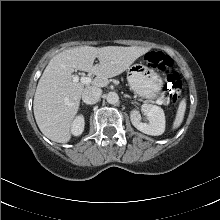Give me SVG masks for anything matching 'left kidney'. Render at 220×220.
Masks as SVG:
<instances>
[{"label": "left kidney", "instance_id": "left-kidney-1", "mask_svg": "<svg viewBox=\"0 0 220 220\" xmlns=\"http://www.w3.org/2000/svg\"><path fill=\"white\" fill-rule=\"evenodd\" d=\"M142 112L148 117L149 123H142L139 111L134 109L130 113L132 125L139 131L152 136H159L165 131V115L161 107L152 104H143Z\"/></svg>", "mask_w": 220, "mask_h": 220}]
</instances>
